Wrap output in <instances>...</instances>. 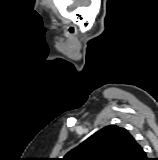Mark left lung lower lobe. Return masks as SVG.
<instances>
[{
  "instance_id": "0a47b994",
  "label": "left lung lower lobe",
  "mask_w": 158,
  "mask_h": 160,
  "mask_svg": "<svg viewBox=\"0 0 158 160\" xmlns=\"http://www.w3.org/2000/svg\"><path fill=\"white\" fill-rule=\"evenodd\" d=\"M128 160H148L143 148L137 142Z\"/></svg>"
}]
</instances>
